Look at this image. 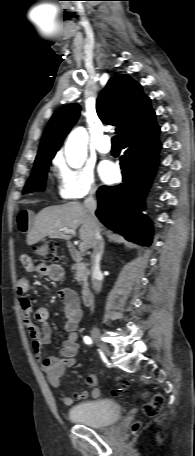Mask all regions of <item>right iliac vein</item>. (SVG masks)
Here are the masks:
<instances>
[{"mask_svg": "<svg viewBox=\"0 0 195 456\" xmlns=\"http://www.w3.org/2000/svg\"><path fill=\"white\" fill-rule=\"evenodd\" d=\"M91 336H92V339L99 345V347L102 349V351L106 354V355H109L110 352H109V348L108 346L101 341V338H100V332L97 328H94L92 329L91 331Z\"/></svg>", "mask_w": 195, "mask_h": 456, "instance_id": "63e3f726", "label": "right iliac vein"}]
</instances>
